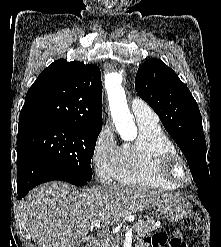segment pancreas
<instances>
[{
    "label": "pancreas",
    "instance_id": "pancreas-1",
    "mask_svg": "<svg viewBox=\"0 0 221 247\" xmlns=\"http://www.w3.org/2000/svg\"><path fill=\"white\" fill-rule=\"evenodd\" d=\"M155 228V221L152 218H147L146 220H139L132 226V229L137 233L138 237L149 236ZM121 243L122 238L120 236H109L106 237L103 241H101L99 247H119Z\"/></svg>",
    "mask_w": 221,
    "mask_h": 247
}]
</instances>
